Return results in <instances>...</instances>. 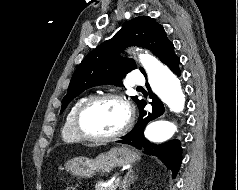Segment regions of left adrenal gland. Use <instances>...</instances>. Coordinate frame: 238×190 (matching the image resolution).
Listing matches in <instances>:
<instances>
[{"instance_id": "left-adrenal-gland-1", "label": "left adrenal gland", "mask_w": 238, "mask_h": 190, "mask_svg": "<svg viewBox=\"0 0 238 190\" xmlns=\"http://www.w3.org/2000/svg\"><path fill=\"white\" fill-rule=\"evenodd\" d=\"M134 171L131 169L129 170L126 175L124 176L123 180L120 183L121 190H128L131 184L137 179L134 175Z\"/></svg>"}]
</instances>
